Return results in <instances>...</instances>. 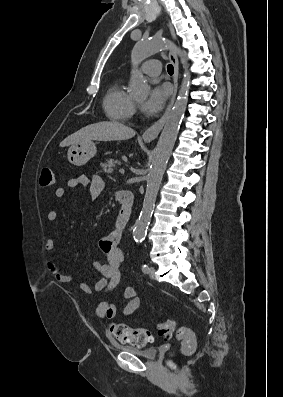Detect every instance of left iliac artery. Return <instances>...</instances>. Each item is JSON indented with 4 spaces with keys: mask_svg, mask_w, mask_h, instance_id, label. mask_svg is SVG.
Returning <instances> with one entry per match:
<instances>
[{
    "mask_svg": "<svg viewBox=\"0 0 283 397\" xmlns=\"http://www.w3.org/2000/svg\"><path fill=\"white\" fill-rule=\"evenodd\" d=\"M142 271L147 274L149 272V267L146 264H142Z\"/></svg>",
    "mask_w": 283,
    "mask_h": 397,
    "instance_id": "1",
    "label": "left iliac artery"
}]
</instances>
